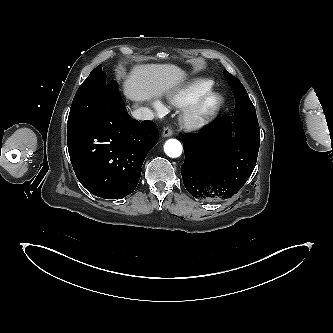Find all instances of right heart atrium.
I'll return each mask as SVG.
<instances>
[{"instance_id": "right-heart-atrium-1", "label": "right heart atrium", "mask_w": 333, "mask_h": 333, "mask_svg": "<svg viewBox=\"0 0 333 333\" xmlns=\"http://www.w3.org/2000/svg\"><path fill=\"white\" fill-rule=\"evenodd\" d=\"M155 108H156V110H157L158 112H161V111L163 110V107H162L161 104L158 103V102L155 103Z\"/></svg>"}]
</instances>
